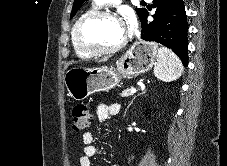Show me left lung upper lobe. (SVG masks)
Listing matches in <instances>:
<instances>
[{"label": "left lung upper lobe", "mask_w": 227, "mask_h": 166, "mask_svg": "<svg viewBox=\"0 0 227 166\" xmlns=\"http://www.w3.org/2000/svg\"><path fill=\"white\" fill-rule=\"evenodd\" d=\"M85 1H88V0H75L74 1V4H73V8H72V11H71V15H70V18H73L74 15L76 14V12L79 10V8L85 3ZM136 12L138 13V16L140 18V20L143 19L144 17V14L146 12V9L144 8H137L136 9Z\"/></svg>", "instance_id": "left-lung-upper-lobe-1"}]
</instances>
